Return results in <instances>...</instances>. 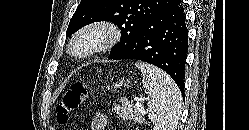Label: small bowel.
<instances>
[{
	"label": "small bowel",
	"instance_id": "obj_1",
	"mask_svg": "<svg viewBox=\"0 0 249 130\" xmlns=\"http://www.w3.org/2000/svg\"><path fill=\"white\" fill-rule=\"evenodd\" d=\"M106 123V116L101 112H97L91 120L89 130H105Z\"/></svg>",
	"mask_w": 249,
	"mask_h": 130
}]
</instances>
